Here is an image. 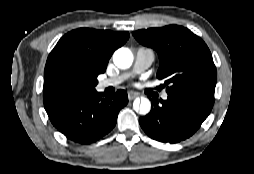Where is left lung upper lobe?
<instances>
[{"mask_svg": "<svg viewBox=\"0 0 254 174\" xmlns=\"http://www.w3.org/2000/svg\"><path fill=\"white\" fill-rule=\"evenodd\" d=\"M135 39L157 51L160 67L157 78L163 79L166 92L195 95L214 102L216 67L209 48L189 29L168 25L133 32Z\"/></svg>", "mask_w": 254, "mask_h": 174, "instance_id": "1", "label": "left lung upper lobe"}]
</instances>
